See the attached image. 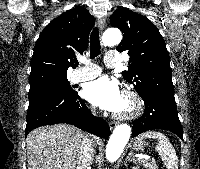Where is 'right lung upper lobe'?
Instances as JSON below:
<instances>
[{"mask_svg": "<svg viewBox=\"0 0 200 169\" xmlns=\"http://www.w3.org/2000/svg\"><path fill=\"white\" fill-rule=\"evenodd\" d=\"M95 19L83 7H75L52 20L41 32L31 58L30 86L48 79H65L76 62L75 53L88 46Z\"/></svg>", "mask_w": 200, "mask_h": 169, "instance_id": "right-lung-upper-lobe-1", "label": "right lung upper lobe"}]
</instances>
